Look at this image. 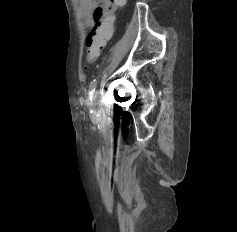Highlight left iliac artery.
Instances as JSON below:
<instances>
[{"mask_svg": "<svg viewBox=\"0 0 237 232\" xmlns=\"http://www.w3.org/2000/svg\"><path fill=\"white\" fill-rule=\"evenodd\" d=\"M96 86H97V80L94 79L89 86V90H88V99H87V104L91 105V101H92V96L96 90Z\"/></svg>", "mask_w": 237, "mask_h": 232, "instance_id": "obj_1", "label": "left iliac artery"}]
</instances>
